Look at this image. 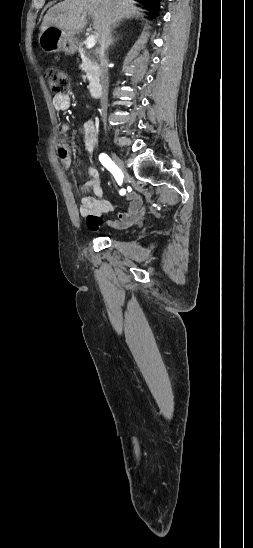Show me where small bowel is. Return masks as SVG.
Wrapping results in <instances>:
<instances>
[{
    "label": "small bowel",
    "mask_w": 253,
    "mask_h": 548,
    "mask_svg": "<svg viewBox=\"0 0 253 548\" xmlns=\"http://www.w3.org/2000/svg\"><path fill=\"white\" fill-rule=\"evenodd\" d=\"M54 108L64 112L71 107V98L67 92H60L53 97ZM67 125L61 123L59 134L56 138L61 163L65 168H70L72 160L64 143ZM97 142L96 128L91 120L87 121L84 127V147L87 155H91ZM89 179L81 186V191L92 192L93 195H84L80 201V214L86 217L87 226L91 231H97L102 225V215L114 211L115 205L105 198L104 187L101 183L100 173L96 166L88 168ZM127 208L118 213L116 219L107 220L112 228H125L136 223L145 213V207L141 197L130 192L126 197Z\"/></svg>",
    "instance_id": "c3829d8e"
}]
</instances>
